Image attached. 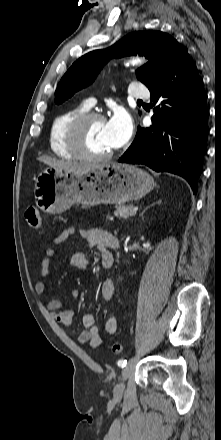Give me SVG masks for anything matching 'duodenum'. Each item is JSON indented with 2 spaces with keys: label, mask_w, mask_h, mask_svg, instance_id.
<instances>
[{
  "label": "duodenum",
  "mask_w": 221,
  "mask_h": 440,
  "mask_svg": "<svg viewBox=\"0 0 221 440\" xmlns=\"http://www.w3.org/2000/svg\"><path fill=\"white\" fill-rule=\"evenodd\" d=\"M119 246V242H118V240L117 239H115L114 241H112V243H111V247L112 248H117ZM113 259L112 258H107L105 261H104V266L107 268V269H109V268H111L112 266H113Z\"/></svg>",
  "instance_id": "410a0bca"
}]
</instances>
